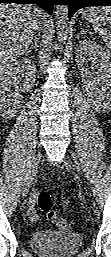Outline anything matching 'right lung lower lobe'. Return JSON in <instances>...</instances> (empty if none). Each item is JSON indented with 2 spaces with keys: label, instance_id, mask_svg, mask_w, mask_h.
Masks as SVG:
<instances>
[{
  "label": "right lung lower lobe",
  "instance_id": "98d812e1",
  "mask_svg": "<svg viewBox=\"0 0 111 257\" xmlns=\"http://www.w3.org/2000/svg\"><path fill=\"white\" fill-rule=\"evenodd\" d=\"M0 3L36 4L50 14L53 9L54 0H0Z\"/></svg>",
  "mask_w": 111,
  "mask_h": 257
}]
</instances>
